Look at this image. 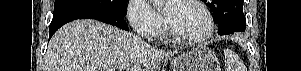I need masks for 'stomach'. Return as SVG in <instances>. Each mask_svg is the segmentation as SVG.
<instances>
[{"label":"stomach","instance_id":"obj_1","mask_svg":"<svg viewBox=\"0 0 301 71\" xmlns=\"http://www.w3.org/2000/svg\"><path fill=\"white\" fill-rule=\"evenodd\" d=\"M172 71H220L216 54L207 47L193 48L171 61Z\"/></svg>","mask_w":301,"mask_h":71}]
</instances>
